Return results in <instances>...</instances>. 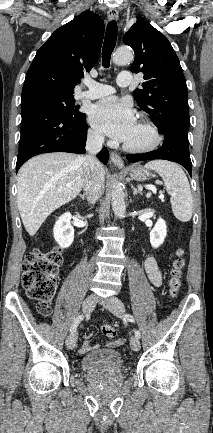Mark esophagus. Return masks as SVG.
Returning <instances> with one entry per match:
<instances>
[{
  "label": "esophagus",
  "instance_id": "esophagus-1",
  "mask_svg": "<svg viewBox=\"0 0 213 433\" xmlns=\"http://www.w3.org/2000/svg\"><path fill=\"white\" fill-rule=\"evenodd\" d=\"M107 16L109 20H116L118 19V11L116 9H109L107 11ZM110 160L111 162L117 166V167H123L124 166V161L121 158V156L116 153V152H111L110 153Z\"/></svg>",
  "mask_w": 213,
  "mask_h": 433
}]
</instances>
